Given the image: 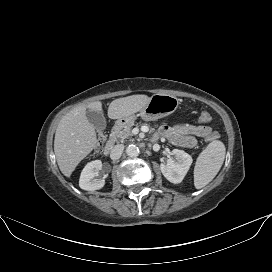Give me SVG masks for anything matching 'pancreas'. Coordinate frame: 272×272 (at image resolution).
<instances>
[{
    "mask_svg": "<svg viewBox=\"0 0 272 272\" xmlns=\"http://www.w3.org/2000/svg\"><path fill=\"white\" fill-rule=\"evenodd\" d=\"M134 125L135 124L133 122L127 125H124L119 131L115 133V139L120 142H124L125 139L133 135L131 128Z\"/></svg>",
    "mask_w": 272,
    "mask_h": 272,
    "instance_id": "pancreas-1",
    "label": "pancreas"
}]
</instances>
